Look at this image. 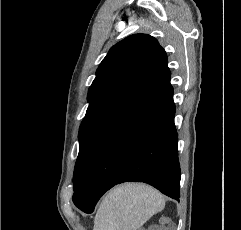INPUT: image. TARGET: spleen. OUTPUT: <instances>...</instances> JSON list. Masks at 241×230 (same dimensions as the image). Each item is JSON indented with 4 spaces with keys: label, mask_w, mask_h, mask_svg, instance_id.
Here are the masks:
<instances>
[{
    "label": "spleen",
    "mask_w": 241,
    "mask_h": 230,
    "mask_svg": "<svg viewBox=\"0 0 241 230\" xmlns=\"http://www.w3.org/2000/svg\"><path fill=\"white\" fill-rule=\"evenodd\" d=\"M164 206L162 194L150 186L132 183L117 186L102 199L93 230H138Z\"/></svg>",
    "instance_id": "3e777b00"
}]
</instances>
